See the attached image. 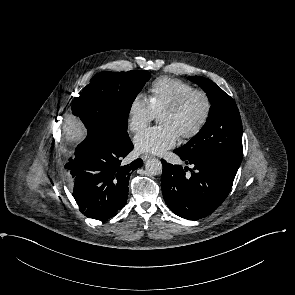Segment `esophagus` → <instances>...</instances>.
I'll list each match as a JSON object with an SVG mask.
<instances>
[{"label": "esophagus", "mask_w": 295, "mask_h": 295, "mask_svg": "<svg viewBox=\"0 0 295 295\" xmlns=\"http://www.w3.org/2000/svg\"><path fill=\"white\" fill-rule=\"evenodd\" d=\"M151 157L152 156L151 155H148V154H144V155L141 156V158L143 159V161H146V160H148Z\"/></svg>", "instance_id": "esophagus-1"}]
</instances>
